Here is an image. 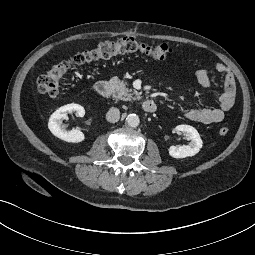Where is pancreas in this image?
<instances>
[{
  "instance_id": "1",
  "label": "pancreas",
  "mask_w": 255,
  "mask_h": 255,
  "mask_svg": "<svg viewBox=\"0 0 255 255\" xmlns=\"http://www.w3.org/2000/svg\"><path fill=\"white\" fill-rule=\"evenodd\" d=\"M110 85L113 87V96L124 101L139 100L141 97L138 92L126 87L128 85L125 81H120L118 77L110 79Z\"/></svg>"
}]
</instances>
